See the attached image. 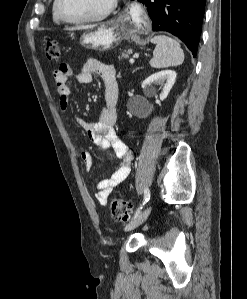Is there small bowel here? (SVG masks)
I'll return each instance as SVG.
<instances>
[{"label":"small bowel","instance_id":"small-bowel-1","mask_svg":"<svg viewBox=\"0 0 247 299\" xmlns=\"http://www.w3.org/2000/svg\"><path fill=\"white\" fill-rule=\"evenodd\" d=\"M94 75L100 76L104 82L105 106L100 111L98 122L76 118L75 123L87 133L88 137L98 147L113 149L116 156L121 159V162L112 171L111 175L99 180L94 186L97 201L99 204L105 205L115 187L129 175V164L132 160V155L126 145L116 135L113 128L119 99V87L115 69L111 65L100 61L88 60L76 75V79L80 84H89L92 82ZM72 76L73 70L67 64L60 65L53 74L56 90L60 98V107L63 111L68 109L70 96L68 80ZM81 160L85 170L90 171L93 167V159L87 150L81 152Z\"/></svg>","mask_w":247,"mask_h":299}]
</instances>
